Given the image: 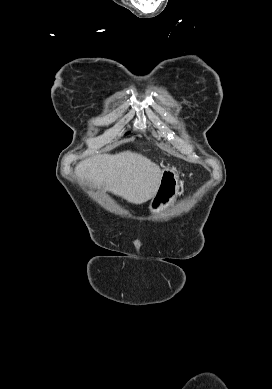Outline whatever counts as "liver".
I'll return each mask as SVG.
<instances>
[{
	"mask_svg": "<svg viewBox=\"0 0 272 389\" xmlns=\"http://www.w3.org/2000/svg\"><path fill=\"white\" fill-rule=\"evenodd\" d=\"M75 173L95 188L104 186L130 203L142 204L154 197L162 171L147 157L124 151L85 159L76 166Z\"/></svg>",
	"mask_w": 272,
	"mask_h": 389,
	"instance_id": "6515ba94",
	"label": "liver"
}]
</instances>
